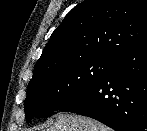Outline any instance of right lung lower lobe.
Segmentation results:
<instances>
[{
    "instance_id": "right-lung-lower-lobe-1",
    "label": "right lung lower lobe",
    "mask_w": 147,
    "mask_h": 131,
    "mask_svg": "<svg viewBox=\"0 0 147 131\" xmlns=\"http://www.w3.org/2000/svg\"><path fill=\"white\" fill-rule=\"evenodd\" d=\"M60 111L116 131H147V41L117 58L95 86Z\"/></svg>"
}]
</instances>
